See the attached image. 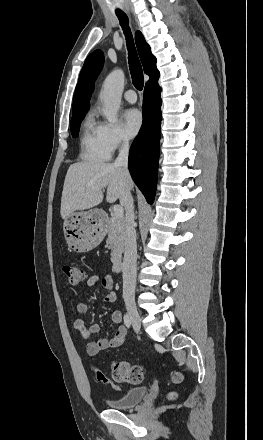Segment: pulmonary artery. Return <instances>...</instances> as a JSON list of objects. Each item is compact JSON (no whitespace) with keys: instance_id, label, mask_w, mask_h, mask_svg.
I'll return each mask as SVG.
<instances>
[{"instance_id":"1","label":"pulmonary artery","mask_w":263,"mask_h":440,"mask_svg":"<svg viewBox=\"0 0 263 440\" xmlns=\"http://www.w3.org/2000/svg\"><path fill=\"white\" fill-rule=\"evenodd\" d=\"M124 99L129 103H135L137 101V95L133 90H127L124 93Z\"/></svg>"}]
</instances>
